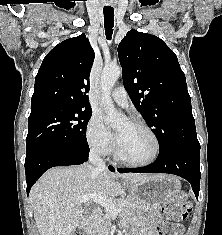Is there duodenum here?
Segmentation results:
<instances>
[{"instance_id": "410a0bca", "label": "duodenum", "mask_w": 222, "mask_h": 235, "mask_svg": "<svg viewBox=\"0 0 222 235\" xmlns=\"http://www.w3.org/2000/svg\"><path fill=\"white\" fill-rule=\"evenodd\" d=\"M100 212V209L99 208H94L93 211H92V217L98 215ZM85 230V235H92V232L90 231V225L89 224H86L84 225L83 227Z\"/></svg>"}]
</instances>
